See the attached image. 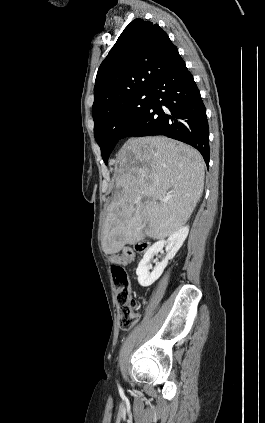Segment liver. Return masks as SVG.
<instances>
[{"instance_id": "liver-1", "label": "liver", "mask_w": 265, "mask_h": 423, "mask_svg": "<svg viewBox=\"0 0 265 423\" xmlns=\"http://www.w3.org/2000/svg\"><path fill=\"white\" fill-rule=\"evenodd\" d=\"M204 169L199 151L182 142L128 139L116 158L117 192L107 209L103 251L115 254L146 236L163 239L183 227L202 195Z\"/></svg>"}]
</instances>
